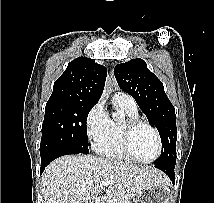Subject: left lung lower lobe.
Here are the masks:
<instances>
[{
    "instance_id": "left-lung-lower-lobe-1",
    "label": "left lung lower lobe",
    "mask_w": 214,
    "mask_h": 203,
    "mask_svg": "<svg viewBox=\"0 0 214 203\" xmlns=\"http://www.w3.org/2000/svg\"><path fill=\"white\" fill-rule=\"evenodd\" d=\"M154 166L163 172H165L169 178L171 179L172 183L174 184L175 182V173H174V168H175V163L173 164H156L154 163Z\"/></svg>"
}]
</instances>
